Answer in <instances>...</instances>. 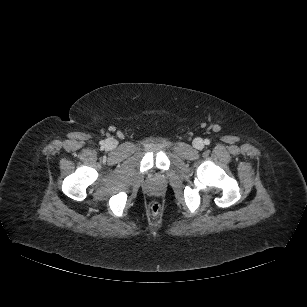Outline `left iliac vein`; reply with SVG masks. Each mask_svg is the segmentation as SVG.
Segmentation results:
<instances>
[{
    "instance_id": "left-iliac-vein-1",
    "label": "left iliac vein",
    "mask_w": 307,
    "mask_h": 307,
    "mask_svg": "<svg viewBox=\"0 0 307 307\" xmlns=\"http://www.w3.org/2000/svg\"><path fill=\"white\" fill-rule=\"evenodd\" d=\"M193 146L196 148V149H202L204 147V142L201 138H195L193 140Z\"/></svg>"
}]
</instances>
